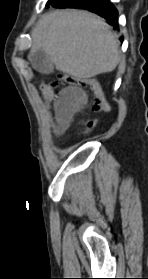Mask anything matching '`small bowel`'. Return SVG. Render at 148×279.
<instances>
[{
  "instance_id": "1",
  "label": "small bowel",
  "mask_w": 148,
  "mask_h": 279,
  "mask_svg": "<svg viewBox=\"0 0 148 279\" xmlns=\"http://www.w3.org/2000/svg\"><path fill=\"white\" fill-rule=\"evenodd\" d=\"M86 101L84 91L79 87L66 86L60 90L53 101L55 123L53 132L62 134L70 125L74 115L79 112Z\"/></svg>"
}]
</instances>
